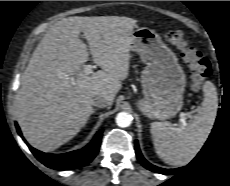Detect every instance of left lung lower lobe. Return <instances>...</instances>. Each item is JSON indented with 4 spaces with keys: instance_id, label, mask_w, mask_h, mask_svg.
I'll list each match as a JSON object with an SVG mask.
<instances>
[{
    "instance_id": "0a47b994",
    "label": "left lung lower lobe",
    "mask_w": 230,
    "mask_h": 186,
    "mask_svg": "<svg viewBox=\"0 0 230 186\" xmlns=\"http://www.w3.org/2000/svg\"><path fill=\"white\" fill-rule=\"evenodd\" d=\"M135 151H136V155L138 160L140 161V163L146 167L147 169L156 172V173H160V174H164V175H172L177 173L178 171H180L183 168H177V169H163V168H159L157 166H154L152 164H150L148 161H146L144 159V157L142 156L140 149H139V145L138 142L135 141Z\"/></svg>"
}]
</instances>
